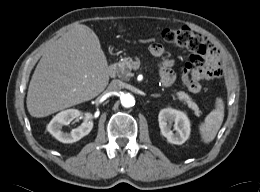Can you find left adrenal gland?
<instances>
[{
  "label": "left adrenal gland",
  "mask_w": 260,
  "mask_h": 192,
  "mask_svg": "<svg viewBox=\"0 0 260 192\" xmlns=\"http://www.w3.org/2000/svg\"><path fill=\"white\" fill-rule=\"evenodd\" d=\"M153 98H158V97H161V95L160 94H152L151 95Z\"/></svg>",
  "instance_id": "left-adrenal-gland-1"
}]
</instances>
